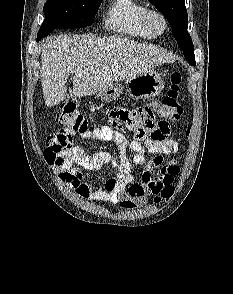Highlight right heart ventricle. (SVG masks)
I'll return each instance as SVG.
<instances>
[{"instance_id":"1","label":"right heart ventricle","mask_w":233,"mask_h":294,"mask_svg":"<svg viewBox=\"0 0 233 294\" xmlns=\"http://www.w3.org/2000/svg\"><path fill=\"white\" fill-rule=\"evenodd\" d=\"M148 7L140 0H111L104 15V25L118 34L152 39L155 35L144 24V14Z\"/></svg>"}]
</instances>
